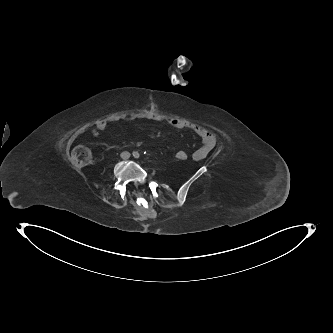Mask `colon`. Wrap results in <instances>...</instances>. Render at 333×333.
Instances as JSON below:
<instances>
[{"label":"colon","mask_w":333,"mask_h":333,"mask_svg":"<svg viewBox=\"0 0 333 333\" xmlns=\"http://www.w3.org/2000/svg\"><path fill=\"white\" fill-rule=\"evenodd\" d=\"M72 161L75 165L77 166H87L91 163L92 161V152L89 148L84 147V146H78L76 147L73 152H72ZM172 160L176 161H186L188 159V154L184 153L182 151H177L172 155Z\"/></svg>","instance_id":"1"}]
</instances>
